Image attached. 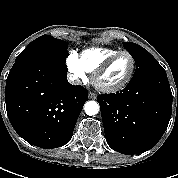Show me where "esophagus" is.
I'll use <instances>...</instances> for the list:
<instances>
[{
	"label": "esophagus",
	"mask_w": 178,
	"mask_h": 178,
	"mask_svg": "<svg viewBox=\"0 0 178 178\" xmlns=\"http://www.w3.org/2000/svg\"><path fill=\"white\" fill-rule=\"evenodd\" d=\"M89 99L95 100L97 98L96 94L93 92H90L88 95Z\"/></svg>",
	"instance_id": "1"
}]
</instances>
